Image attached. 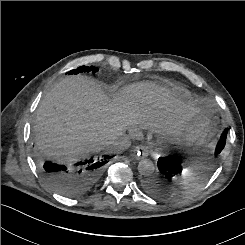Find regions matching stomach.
<instances>
[{"mask_svg":"<svg viewBox=\"0 0 245 245\" xmlns=\"http://www.w3.org/2000/svg\"><path fill=\"white\" fill-rule=\"evenodd\" d=\"M218 117L212 103L204 101L197 112L190 116L176 135L188 145L201 147L212 140L217 132Z\"/></svg>","mask_w":245,"mask_h":245,"instance_id":"obj_1","label":"stomach"}]
</instances>
